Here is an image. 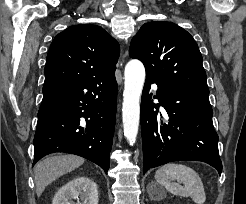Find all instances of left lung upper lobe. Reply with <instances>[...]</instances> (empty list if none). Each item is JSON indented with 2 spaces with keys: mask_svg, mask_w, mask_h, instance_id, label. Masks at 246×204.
<instances>
[{
  "mask_svg": "<svg viewBox=\"0 0 246 204\" xmlns=\"http://www.w3.org/2000/svg\"><path fill=\"white\" fill-rule=\"evenodd\" d=\"M129 55L142 61L146 78L208 88L198 45L172 22L144 24L131 41Z\"/></svg>",
  "mask_w": 246,
  "mask_h": 204,
  "instance_id": "obj_1",
  "label": "left lung upper lobe"
}]
</instances>
